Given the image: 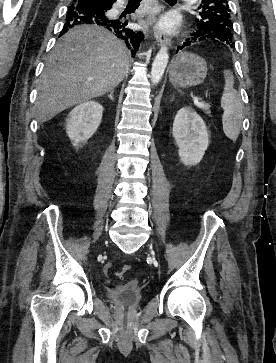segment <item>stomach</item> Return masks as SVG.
<instances>
[{
	"label": "stomach",
	"instance_id": "1",
	"mask_svg": "<svg viewBox=\"0 0 276 363\" xmlns=\"http://www.w3.org/2000/svg\"><path fill=\"white\" fill-rule=\"evenodd\" d=\"M207 63L199 55L182 52L176 56L169 72L170 82L180 88H190L204 82Z\"/></svg>",
	"mask_w": 276,
	"mask_h": 363
}]
</instances>
